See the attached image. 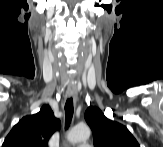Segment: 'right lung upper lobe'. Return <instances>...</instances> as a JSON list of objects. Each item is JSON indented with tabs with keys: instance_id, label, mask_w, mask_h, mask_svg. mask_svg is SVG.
Here are the masks:
<instances>
[{
	"instance_id": "obj_1",
	"label": "right lung upper lobe",
	"mask_w": 163,
	"mask_h": 147,
	"mask_svg": "<svg viewBox=\"0 0 163 147\" xmlns=\"http://www.w3.org/2000/svg\"><path fill=\"white\" fill-rule=\"evenodd\" d=\"M59 127L60 120L44 105L38 113L23 117L14 126L2 147H48V140Z\"/></svg>"
}]
</instances>
